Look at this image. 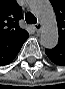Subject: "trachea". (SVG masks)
I'll use <instances>...</instances> for the list:
<instances>
[{"mask_svg": "<svg viewBox=\"0 0 65 89\" xmlns=\"http://www.w3.org/2000/svg\"><path fill=\"white\" fill-rule=\"evenodd\" d=\"M25 20L29 24H35V23H37L36 17L32 13H30V12H27L25 14Z\"/></svg>", "mask_w": 65, "mask_h": 89, "instance_id": "obj_1", "label": "trachea"}]
</instances>
